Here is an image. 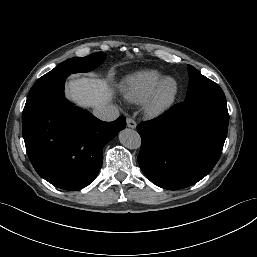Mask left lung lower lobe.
I'll return each mask as SVG.
<instances>
[{
  "mask_svg": "<svg viewBox=\"0 0 257 257\" xmlns=\"http://www.w3.org/2000/svg\"><path fill=\"white\" fill-rule=\"evenodd\" d=\"M226 99L184 101L137 126L138 163L155 185L176 190L204 178L217 163L227 136Z\"/></svg>",
  "mask_w": 257,
  "mask_h": 257,
  "instance_id": "0a47b994",
  "label": "left lung lower lobe"
}]
</instances>
